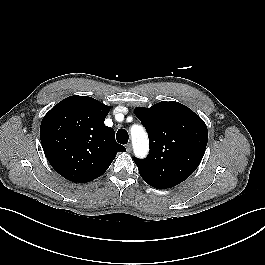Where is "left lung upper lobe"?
<instances>
[{
	"label": "left lung upper lobe",
	"mask_w": 265,
	"mask_h": 265,
	"mask_svg": "<svg viewBox=\"0 0 265 265\" xmlns=\"http://www.w3.org/2000/svg\"><path fill=\"white\" fill-rule=\"evenodd\" d=\"M135 114L146 128L150 151L134 158L146 183L157 189L171 188L186 180L199 166L208 140L204 121L178 102L137 107Z\"/></svg>",
	"instance_id": "obj_1"
}]
</instances>
